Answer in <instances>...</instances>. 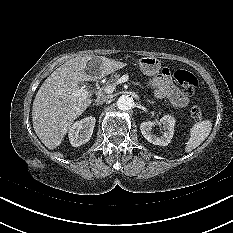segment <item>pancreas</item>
I'll return each instance as SVG.
<instances>
[{"instance_id": "cf45deb5", "label": "pancreas", "mask_w": 233, "mask_h": 233, "mask_svg": "<svg viewBox=\"0 0 233 233\" xmlns=\"http://www.w3.org/2000/svg\"><path fill=\"white\" fill-rule=\"evenodd\" d=\"M118 78H119V75L117 74L112 75L110 79L107 81L106 85L116 84Z\"/></svg>"}]
</instances>
